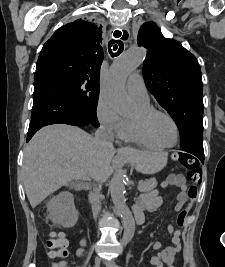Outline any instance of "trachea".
Wrapping results in <instances>:
<instances>
[{
    "mask_svg": "<svg viewBox=\"0 0 225 267\" xmlns=\"http://www.w3.org/2000/svg\"><path fill=\"white\" fill-rule=\"evenodd\" d=\"M122 33L119 30L115 31V37H121ZM128 34L123 31V36L121 37L123 40L127 39ZM124 44L121 40H110L108 43V50L111 56L116 57L123 52Z\"/></svg>",
    "mask_w": 225,
    "mask_h": 267,
    "instance_id": "1",
    "label": "trachea"
}]
</instances>
